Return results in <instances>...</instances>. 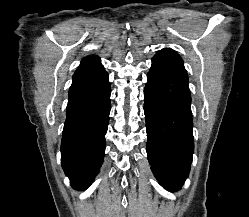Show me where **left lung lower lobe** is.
Here are the masks:
<instances>
[{
  "label": "left lung lower lobe",
  "instance_id": "obj_1",
  "mask_svg": "<svg viewBox=\"0 0 249 217\" xmlns=\"http://www.w3.org/2000/svg\"><path fill=\"white\" fill-rule=\"evenodd\" d=\"M147 156L161 186L179 190L194 150L191 94L183 63L153 57L144 90Z\"/></svg>",
  "mask_w": 249,
  "mask_h": 217
}]
</instances>
